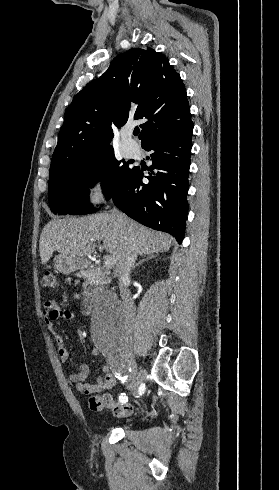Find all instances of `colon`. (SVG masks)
I'll return each mask as SVG.
<instances>
[{
    "label": "colon",
    "instance_id": "5ec220e1",
    "mask_svg": "<svg viewBox=\"0 0 279 490\" xmlns=\"http://www.w3.org/2000/svg\"><path fill=\"white\" fill-rule=\"evenodd\" d=\"M41 286L45 289H55L57 287V275L51 270L45 271L41 278ZM91 411H101L108 409L116 417H127L133 413V406L130 404H119L112 396L105 392L102 394H92L88 400Z\"/></svg>",
    "mask_w": 279,
    "mask_h": 490
}]
</instances>
